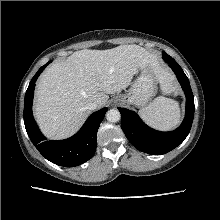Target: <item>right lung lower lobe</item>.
<instances>
[{
    "instance_id": "right-lung-lower-lobe-1",
    "label": "right lung lower lobe",
    "mask_w": 220,
    "mask_h": 220,
    "mask_svg": "<svg viewBox=\"0 0 220 220\" xmlns=\"http://www.w3.org/2000/svg\"><path fill=\"white\" fill-rule=\"evenodd\" d=\"M50 62L37 71L28 86L24 103V124L30 140L47 160L60 166L74 167L93 157L96 150L97 131L108 108H102L91 114L74 136L61 141H46L33 118L32 102L35 81Z\"/></svg>"
}]
</instances>
